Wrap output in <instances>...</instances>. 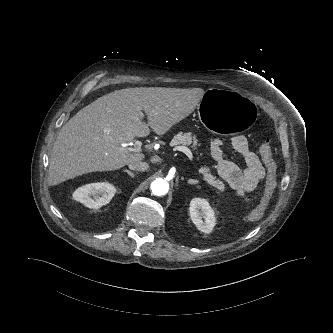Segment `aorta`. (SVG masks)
<instances>
[{"mask_svg":"<svg viewBox=\"0 0 333 333\" xmlns=\"http://www.w3.org/2000/svg\"><path fill=\"white\" fill-rule=\"evenodd\" d=\"M151 191L156 196L166 195L169 191V183L167 180L157 178L151 183Z\"/></svg>","mask_w":333,"mask_h":333,"instance_id":"762f6f07","label":"aorta"}]
</instances>
